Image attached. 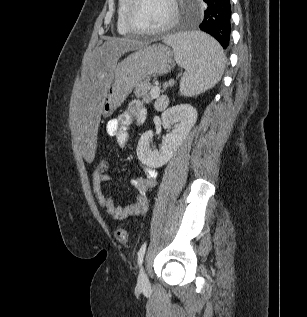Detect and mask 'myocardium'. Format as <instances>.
Wrapping results in <instances>:
<instances>
[{"label": "myocardium", "mask_w": 307, "mask_h": 317, "mask_svg": "<svg viewBox=\"0 0 307 317\" xmlns=\"http://www.w3.org/2000/svg\"><path fill=\"white\" fill-rule=\"evenodd\" d=\"M138 2V0H127V4L125 7L124 20L125 25L129 29L130 32L137 35H148L155 36L169 31L178 21L179 17V8L177 4V0H170L171 3V16L169 20L163 25L153 28V29H140L135 26L132 20V9L134 5Z\"/></svg>", "instance_id": "obj_1"}]
</instances>
